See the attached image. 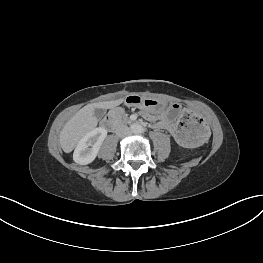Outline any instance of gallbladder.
<instances>
[{
    "label": "gallbladder",
    "instance_id": "obj_1",
    "mask_svg": "<svg viewBox=\"0 0 263 263\" xmlns=\"http://www.w3.org/2000/svg\"><path fill=\"white\" fill-rule=\"evenodd\" d=\"M94 113H95V116L97 117V119L101 120L105 115V110L101 109V108H97V109H95Z\"/></svg>",
    "mask_w": 263,
    "mask_h": 263
}]
</instances>
